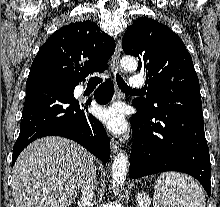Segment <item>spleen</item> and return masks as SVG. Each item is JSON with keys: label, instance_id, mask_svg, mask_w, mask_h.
Returning <instances> with one entry per match:
<instances>
[{"label": "spleen", "instance_id": "1", "mask_svg": "<svg viewBox=\"0 0 220 207\" xmlns=\"http://www.w3.org/2000/svg\"><path fill=\"white\" fill-rule=\"evenodd\" d=\"M155 207H205V193L192 177L178 172L162 173L154 188Z\"/></svg>", "mask_w": 220, "mask_h": 207}]
</instances>
